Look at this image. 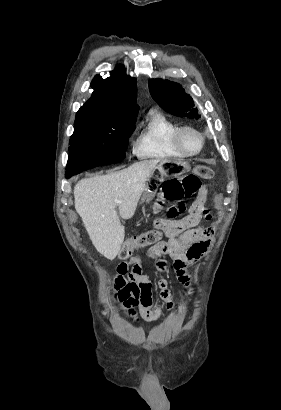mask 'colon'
Here are the masks:
<instances>
[{
	"label": "colon",
	"instance_id": "obj_1",
	"mask_svg": "<svg viewBox=\"0 0 281 410\" xmlns=\"http://www.w3.org/2000/svg\"><path fill=\"white\" fill-rule=\"evenodd\" d=\"M213 170L204 164H198L193 174L187 175L181 179L166 182L163 185L159 203H175L166 210L168 219L176 218L183 212L184 200L191 197L200 187L201 180H210L213 178ZM161 239V232L158 229L148 230L137 236L126 240L121 246L118 258L127 260L134 250L156 244Z\"/></svg>",
	"mask_w": 281,
	"mask_h": 410
}]
</instances>
